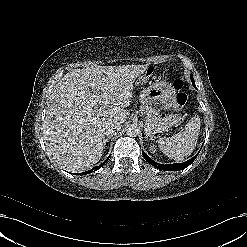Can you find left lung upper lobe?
Instances as JSON below:
<instances>
[{
    "instance_id": "5c2ea615",
    "label": "left lung upper lobe",
    "mask_w": 247,
    "mask_h": 247,
    "mask_svg": "<svg viewBox=\"0 0 247 247\" xmlns=\"http://www.w3.org/2000/svg\"><path fill=\"white\" fill-rule=\"evenodd\" d=\"M190 78H193V76H192V75H190Z\"/></svg>"
}]
</instances>
